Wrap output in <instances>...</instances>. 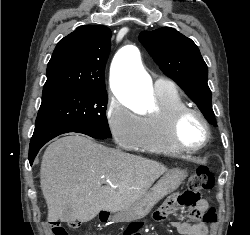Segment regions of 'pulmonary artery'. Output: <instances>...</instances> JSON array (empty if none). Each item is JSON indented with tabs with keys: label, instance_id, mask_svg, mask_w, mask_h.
<instances>
[{
	"label": "pulmonary artery",
	"instance_id": "obj_1",
	"mask_svg": "<svg viewBox=\"0 0 250 235\" xmlns=\"http://www.w3.org/2000/svg\"><path fill=\"white\" fill-rule=\"evenodd\" d=\"M175 86L174 84L164 78H157L154 82V89L156 91H165V90H170L173 89Z\"/></svg>",
	"mask_w": 250,
	"mask_h": 235
}]
</instances>
